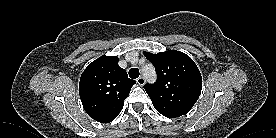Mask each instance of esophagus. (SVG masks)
Returning a JSON list of instances; mask_svg holds the SVG:
<instances>
[{"label": "esophagus", "mask_w": 276, "mask_h": 138, "mask_svg": "<svg viewBox=\"0 0 276 138\" xmlns=\"http://www.w3.org/2000/svg\"><path fill=\"white\" fill-rule=\"evenodd\" d=\"M137 83L140 85V86H143L144 83H145V78L143 76H140L138 79H137Z\"/></svg>", "instance_id": "esophagus-1"}]
</instances>
